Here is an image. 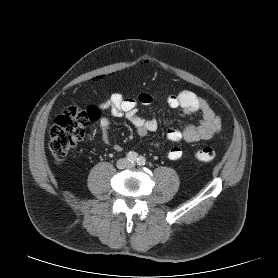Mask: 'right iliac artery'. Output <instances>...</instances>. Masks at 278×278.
<instances>
[{
	"label": "right iliac artery",
	"instance_id": "82829eb1",
	"mask_svg": "<svg viewBox=\"0 0 278 278\" xmlns=\"http://www.w3.org/2000/svg\"><path fill=\"white\" fill-rule=\"evenodd\" d=\"M126 158L128 161H130L131 163H134L137 161L138 159V154L136 152H129L127 155H126Z\"/></svg>",
	"mask_w": 278,
	"mask_h": 278
}]
</instances>
